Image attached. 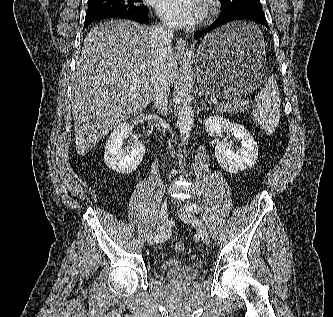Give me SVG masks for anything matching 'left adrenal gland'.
<instances>
[{"instance_id": "obj_1", "label": "left adrenal gland", "mask_w": 333, "mask_h": 317, "mask_svg": "<svg viewBox=\"0 0 333 317\" xmlns=\"http://www.w3.org/2000/svg\"><path fill=\"white\" fill-rule=\"evenodd\" d=\"M201 103H202L201 110L208 109V107L206 106V102L205 101H201Z\"/></svg>"}]
</instances>
